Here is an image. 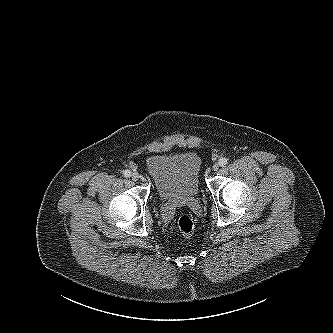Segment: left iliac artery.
I'll return each mask as SVG.
<instances>
[{"instance_id": "44dca946", "label": "left iliac artery", "mask_w": 333, "mask_h": 333, "mask_svg": "<svg viewBox=\"0 0 333 333\" xmlns=\"http://www.w3.org/2000/svg\"><path fill=\"white\" fill-rule=\"evenodd\" d=\"M227 163H228V159L227 158H221L219 160L220 166H225Z\"/></svg>"}]
</instances>
